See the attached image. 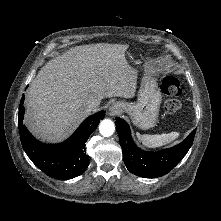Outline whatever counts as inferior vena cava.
I'll return each instance as SVG.
<instances>
[{
  "label": "inferior vena cava",
  "mask_w": 221,
  "mask_h": 221,
  "mask_svg": "<svg viewBox=\"0 0 221 221\" xmlns=\"http://www.w3.org/2000/svg\"><path fill=\"white\" fill-rule=\"evenodd\" d=\"M100 105V101L98 100H91L86 105V112L90 113L92 111H95Z\"/></svg>",
  "instance_id": "inferior-vena-cava-1"
}]
</instances>
